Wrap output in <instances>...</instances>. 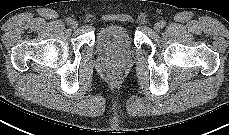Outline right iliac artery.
<instances>
[{
	"label": "right iliac artery",
	"mask_w": 229,
	"mask_h": 135,
	"mask_svg": "<svg viewBox=\"0 0 229 135\" xmlns=\"http://www.w3.org/2000/svg\"><path fill=\"white\" fill-rule=\"evenodd\" d=\"M72 21H73V20H72L71 18H67V20H66L67 24H71Z\"/></svg>",
	"instance_id": "right-iliac-artery-1"
}]
</instances>
